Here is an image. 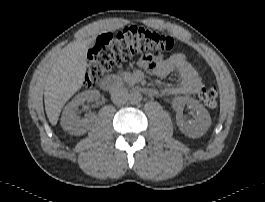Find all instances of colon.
I'll return each mask as SVG.
<instances>
[{
    "label": "colon",
    "instance_id": "obj_1",
    "mask_svg": "<svg viewBox=\"0 0 265 202\" xmlns=\"http://www.w3.org/2000/svg\"><path fill=\"white\" fill-rule=\"evenodd\" d=\"M176 48L173 38L143 27L131 26L116 33L102 34L87 56L86 86H97L114 64L136 59L141 66L152 69L156 66L155 58L158 54ZM199 98L205 106L214 108L217 105V88H202Z\"/></svg>",
    "mask_w": 265,
    "mask_h": 202
}]
</instances>
